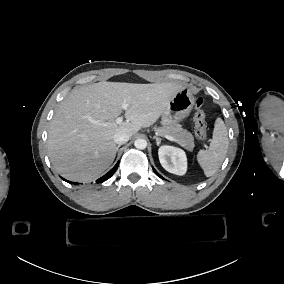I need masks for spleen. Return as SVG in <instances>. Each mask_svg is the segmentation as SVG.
Returning <instances> with one entry per match:
<instances>
[{"instance_id": "obj_1", "label": "spleen", "mask_w": 284, "mask_h": 284, "mask_svg": "<svg viewBox=\"0 0 284 284\" xmlns=\"http://www.w3.org/2000/svg\"><path fill=\"white\" fill-rule=\"evenodd\" d=\"M229 147L228 130L221 117L214 121L212 139L208 149L199 150L196 160L206 177H211L223 163Z\"/></svg>"}]
</instances>
